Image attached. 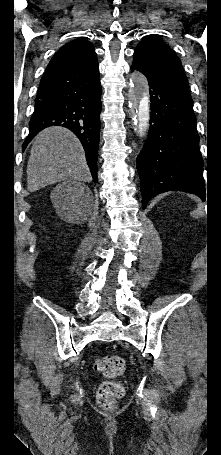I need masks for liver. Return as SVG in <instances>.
Here are the masks:
<instances>
[{"label": "liver", "instance_id": "obj_1", "mask_svg": "<svg viewBox=\"0 0 221 455\" xmlns=\"http://www.w3.org/2000/svg\"><path fill=\"white\" fill-rule=\"evenodd\" d=\"M64 180L90 181L85 153L78 138L68 129L55 126L34 140L27 165V190L35 192Z\"/></svg>", "mask_w": 221, "mask_h": 455}]
</instances>
